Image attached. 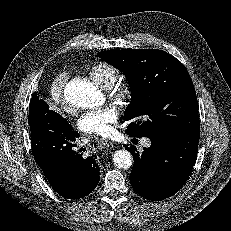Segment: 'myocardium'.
<instances>
[{"instance_id":"f54148a6","label":"myocardium","mask_w":231,"mask_h":231,"mask_svg":"<svg viewBox=\"0 0 231 231\" xmlns=\"http://www.w3.org/2000/svg\"><path fill=\"white\" fill-rule=\"evenodd\" d=\"M110 97L115 99L122 105H126L130 102L135 94V88L132 83H122L113 87L110 92Z\"/></svg>"}]
</instances>
